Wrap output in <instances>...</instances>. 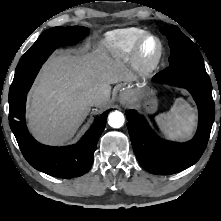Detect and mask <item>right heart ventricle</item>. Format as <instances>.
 <instances>
[{
    "label": "right heart ventricle",
    "instance_id": "obj_1",
    "mask_svg": "<svg viewBox=\"0 0 221 221\" xmlns=\"http://www.w3.org/2000/svg\"><path fill=\"white\" fill-rule=\"evenodd\" d=\"M146 33L140 28H126L113 31L106 36L105 45L114 56L125 57L130 55Z\"/></svg>",
    "mask_w": 221,
    "mask_h": 221
}]
</instances>
